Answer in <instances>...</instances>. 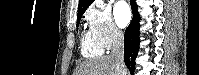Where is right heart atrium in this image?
I'll return each instance as SVG.
<instances>
[{
	"label": "right heart atrium",
	"instance_id": "right-heart-atrium-1",
	"mask_svg": "<svg viewBox=\"0 0 199 75\" xmlns=\"http://www.w3.org/2000/svg\"><path fill=\"white\" fill-rule=\"evenodd\" d=\"M87 20L90 31L103 49H110L122 41L123 33L106 9L92 8L87 15Z\"/></svg>",
	"mask_w": 199,
	"mask_h": 75
}]
</instances>
